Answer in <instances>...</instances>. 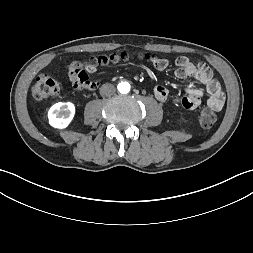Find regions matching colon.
<instances>
[{
  "mask_svg": "<svg viewBox=\"0 0 253 253\" xmlns=\"http://www.w3.org/2000/svg\"><path fill=\"white\" fill-rule=\"evenodd\" d=\"M142 58L156 60L151 54H145ZM131 58L128 53L98 55L91 57L85 63L76 60L70 67L68 73L69 89L74 92L97 90L100 87V80L97 77H90L89 73L95 72L99 67L125 61ZM61 91L59 83L52 77L39 75L31 88V95L35 100L41 101L59 95ZM217 121L215 111L210 107H204L200 112V123L204 128H211Z\"/></svg>",
  "mask_w": 253,
  "mask_h": 253,
  "instance_id": "5ec220e1",
  "label": "colon"
}]
</instances>
